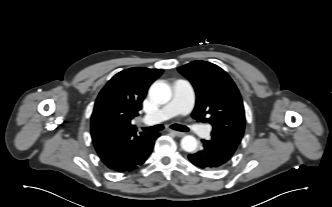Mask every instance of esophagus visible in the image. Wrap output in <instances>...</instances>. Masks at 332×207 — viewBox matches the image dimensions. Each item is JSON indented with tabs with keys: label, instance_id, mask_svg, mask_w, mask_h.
<instances>
[{
	"label": "esophagus",
	"instance_id": "esophagus-1",
	"mask_svg": "<svg viewBox=\"0 0 332 207\" xmlns=\"http://www.w3.org/2000/svg\"><path fill=\"white\" fill-rule=\"evenodd\" d=\"M170 133H172L174 136L176 137H183L185 135V133L183 132H179V131H175V130H168Z\"/></svg>",
	"mask_w": 332,
	"mask_h": 207
}]
</instances>
